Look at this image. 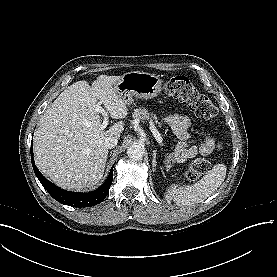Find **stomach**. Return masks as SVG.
<instances>
[{
	"label": "stomach",
	"instance_id": "1",
	"mask_svg": "<svg viewBox=\"0 0 277 277\" xmlns=\"http://www.w3.org/2000/svg\"><path fill=\"white\" fill-rule=\"evenodd\" d=\"M114 89L126 105H130L133 97L147 100L160 94L162 80L152 73L130 71L121 76L114 84Z\"/></svg>",
	"mask_w": 277,
	"mask_h": 277
}]
</instances>
